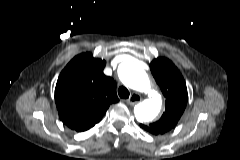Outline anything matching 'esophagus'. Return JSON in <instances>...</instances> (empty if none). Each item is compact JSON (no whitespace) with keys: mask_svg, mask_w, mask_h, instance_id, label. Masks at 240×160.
Segmentation results:
<instances>
[{"mask_svg":"<svg viewBox=\"0 0 240 160\" xmlns=\"http://www.w3.org/2000/svg\"><path fill=\"white\" fill-rule=\"evenodd\" d=\"M140 101H141L140 95L137 93H134L126 100V103L134 106V105H137Z\"/></svg>","mask_w":240,"mask_h":160,"instance_id":"34e87169","label":"esophagus"}]
</instances>
